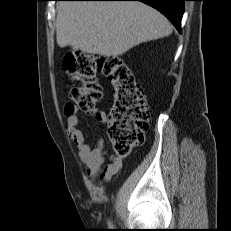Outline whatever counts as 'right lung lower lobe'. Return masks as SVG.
<instances>
[{"label": "right lung lower lobe", "mask_w": 231, "mask_h": 231, "mask_svg": "<svg viewBox=\"0 0 231 231\" xmlns=\"http://www.w3.org/2000/svg\"><path fill=\"white\" fill-rule=\"evenodd\" d=\"M86 1H141L146 3L162 14H164L181 31V19L184 11L183 2L185 0H86Z\"/></svg>", "instance_id": "obj_1"}]
</instances>
